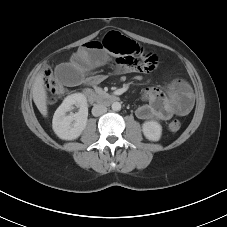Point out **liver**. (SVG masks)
I'll list each match as a JSON object with an SVG mask.
<instances>
[{"instance_id": "liver-1", "label": "liver", "mask_w": 227, "mask_h": 227, "mask_svg": "<svg viewBox=\"0 0 227 227\" xmlns=\"http://www.w3.org/2000/svg\"><path fill=\"white\" fill-rule=\"evenodd\" d=\"M44 74L41 72L37 75L35 82L32 86L33 101L37 106L40 113L46 117L47 111V93L44 84Z\"/></svg>"}]
</instances>
